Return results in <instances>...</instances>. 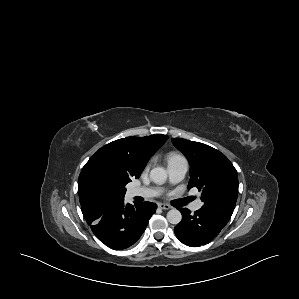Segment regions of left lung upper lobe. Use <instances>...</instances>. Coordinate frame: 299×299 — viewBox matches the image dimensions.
Returning <instances> with one entry per match:
<instances>
[{
	"mask_svg": "<svg viewBox=\"0 0 299 299\" xmlns=\"http://www.w3.org/2000/svg\"><path fill=\"white\" fill-rule=\"evenodd\" d=\"M173 144L186 156L191 178L188 189L202 192L200 208L227 223L234 211L238 195L237 171L220 151L199 142L173 138Z\"/></svg>",
	"mask_w": 299,
	"mask_h": 299,
	"instance_id": "obj_1",
	"label": "left lung upper lobe"
}]
</instances>
